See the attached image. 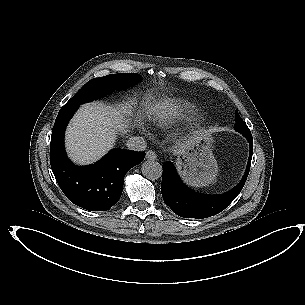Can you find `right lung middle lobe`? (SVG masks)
<instances>
[{
  "label": "right lung middle lobe",
  "instance_id": "obj_1",
  "mask_svg": "<svg viewBox=\"0 0 305 305\" xmlns=\"http://www.w3.org/2000/svg\"><path fill=\"white\" fill-rule=\"evenodd\" d=\"M140 77L136 73L110 74L88 81L64 107L78 108L79 105L101 98L114 89H125L136 84Z\"/></svg>",
  "mask_w": 305,
  "mask_h": 305
}]
</instances>
